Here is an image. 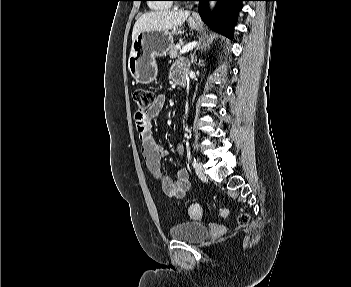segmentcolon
Instances as JSON below:
<instances>
[{
  "label": "colon",
  "instance_id": "colon-1",
  "mask_svg": "<svg viewBox=\"0 0 351 287\" xmlns=\"http://www.w3.org/2000/svg\"><path fill=\"white\" fill-rule=\"evenodd\" d=\"M133 100L137 106V112L144 114L146 113L155 101V95L153 91L145 88L136 89L133 92ZM219 215L221 217L228 216V210L226 208L220 210ZM249 220V215L247 213H241L239 215L238 221L240 225L247 224Z\"/></svg>",
  "mask_w": 351,
  "mask_h": 287
}]
</instances>
